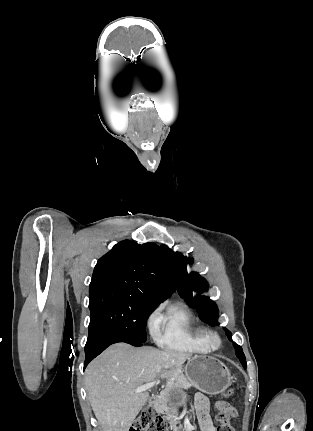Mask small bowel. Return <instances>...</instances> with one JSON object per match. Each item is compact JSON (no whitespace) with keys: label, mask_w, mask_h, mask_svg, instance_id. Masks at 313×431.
<instances>
[{"label":"small bowel","mask_w":313,"mask_h":431,"mask_svg":"<svg viewBox=\"0 0 313 431\" xmlns=\"http://www.w3.org/2000/svg\"><path fill=\"white\" fill-rule=\"evenodd\" d=\"M214 409L222 411L231 417L237 416L235 408L226 402L219 401L215 403ZM196 410L201 431H216L210 414L209 401L203 394L196 395Z\"/></svg>","instance_id":"c3829d8e"}]
</instances>
